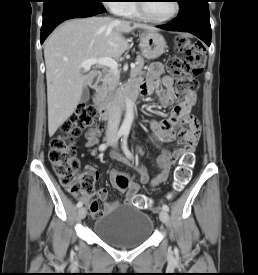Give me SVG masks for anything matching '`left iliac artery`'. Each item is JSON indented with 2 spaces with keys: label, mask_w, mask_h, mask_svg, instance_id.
<instances>
[{
  "label": "left iliac artery",
  "mask_w": 258,
  "mask_h": 275,
  "mask_svg": "<svg viewBox=\"0 0 258 275\" xmlns=\"http://www.w3.org/2000/svg\"><path fill=\"white\" fill-rule=\"evenodd\" d=\"M127 137H128V132H125L123 138L121 139V141H122V148H123V151H124L125 155H126L128 158L131 159V158H132V154H131V152L129 151V149H128V147H127ZM162 208H163V210H165V211H169V206L166 205V204H164V205L162 206Z\"/></svg>",
  "instance_id": "1"
}]
</instances>
